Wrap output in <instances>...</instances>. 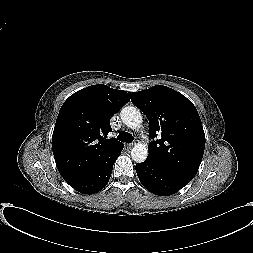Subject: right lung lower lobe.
I'll list each match as a JSON object with an SVG mask.
<instances>
[{
	"mask_svg": "<svg viewBox=\"0 0 253 253\" xmlns=\"http://www.w3.org/2000/svg\"><path fill=\"white\" fill-rule=\"evenodd\" d=\"M124 145L116 149L111 156L97 169L78 178L66 181L71 187L81 193L93 194L99 192L108 183L113 164L121 154Z\"/></svg>",
	"mask_w": 253,
	"mask_h": 253,
	"instance_id": "98d812e1",
	"label": "right lung lower lobe"
}]
</instances>
